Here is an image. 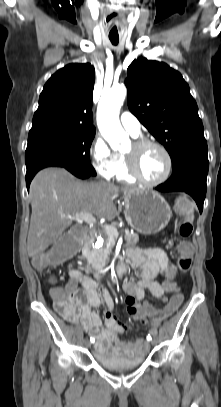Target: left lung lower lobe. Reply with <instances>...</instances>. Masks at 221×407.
<instances>
[{
	"mask_svg": "<svg viewBox=\"0 0 221 407\" xmlns=\"http://www.w3.org/2000/svg\"><path fill=\"white\" fill-rule=\"evenodd\" d=\"M209 161L206 150H195L184 155L174 166L171 177L156 187L160 192L182 191L196 201L200 212L206 195Z\"/></svg>",
	"mask_w": 221,
	"mask_h": 407,
	"instance_id": "left-lung-lower-lobe-1",
	"label": "left lung lower lobe"
}]
</instances>
